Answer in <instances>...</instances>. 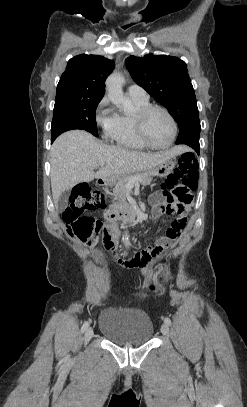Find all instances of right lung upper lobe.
Segmentation results:
<instances>
[{
  "instance_id": "1",
  "label": "right lung upper lobe",
  "mask_w": 247,
  "mask_h": 407,
  "mask_svg": "<svg viewBox=\"0 0 247 407\" xmlns=\"http://www.w3.org/2000/svg\"><path fill=\"white\" fill-rule=\"evenodd\" d=\"M115 62L103 56L79 55L68 61L57 86L56 99H102L105 80Z\"/></svg>"
}]
</instances>
